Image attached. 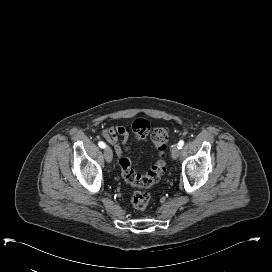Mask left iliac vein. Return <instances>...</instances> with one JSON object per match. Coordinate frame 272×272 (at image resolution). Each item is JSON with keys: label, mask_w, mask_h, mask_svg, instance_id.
I'll list each match as a JSON object with an SVG mask.
<instances>
[{"label": "left iliac vein", "mask_w": 272, "mask_h": 272, "mask_svg": "<svg viewBox=\"0 0 272 272\" xmlns=\"http://www.w3.org/2000/svg\"><path fill=\"white\" fill-rule=\"evenodd\" d=\"M179 154H180V148L178 147V145H174L171 150L172 158L177 159L179 157Z\"/></svg>", "instance_id": "obj_1"}]
</instances>
